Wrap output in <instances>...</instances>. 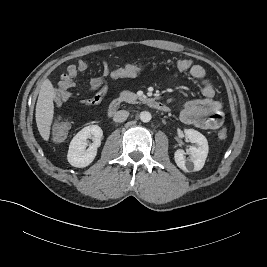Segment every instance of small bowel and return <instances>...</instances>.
<instances>
[{"label": "small bowel", "mask_w": 267, "mask_h": 267, "mask_svg": "<svg viewBox=\"0 0 267 267\" xmlns=\"http://www.w3.org/2000/svg\"><path fill=\"white\" fill-rule=\"evenodd\" d=\"M87 68V63L82 59H78L67 67L61 75L55 91L56 106H61L75 95L77 77L85 72ZM109 72V66L104 62L102 75L92 78L89 82L87 95L81 99L83 105L93 107L102 102L108 90L107 77ZM189 73L191 77L200 82L203 97L186 102L180 110V120L200 129L215 130L224 121L221 104L214 99L215 87L207 78L206 71L201 65H192Z\"/></svg>", "instance_id": "c3829d8e"}]
</instances>
